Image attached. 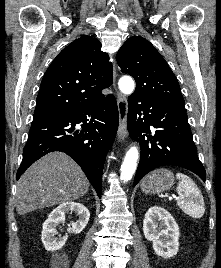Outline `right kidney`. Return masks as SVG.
Wrapping results in <instances>:
<instances>
[{"label":"right kidney","mask_w":221,"mask_h":268,"mask_svg":"<svg viewBox=\"0 0 221 268\" xmlns=\"http://www.w3.org/2000/svg\"><path fill=\"white\" fill-rule=\"evenodd\" d=\"M74 211L79 219L68 227V233L79 234L87 225L90 217L89 210L81 203L65 202L54 209L43 224L42 243L48 251L60 250L66 243L68 236L55 237L57 227L65 221V214Z\"/></svg>","instance_id":"ca27d5eb"}]
</instances>
